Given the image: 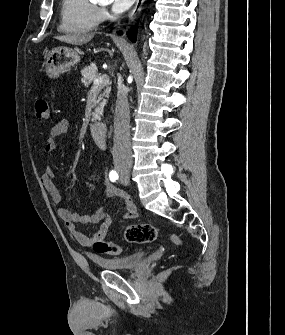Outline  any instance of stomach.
I'll use <instances>...</instances> for the list:
<instances>
[{"label":"stomach","mask_w":285,"mask_h":335,"mask_svg":"<svg viewBox=\"0 0 285 335\" xmlns=\"http://www.w3.org/2000/svg\"><path fill=\"white\" fill-rule=\"evenodd\" d=\"M80 62L79 52L75 48H53L46 56L45 70L48 78H58L59 74L66 72L71 66Z\"/></svg>","instance_id":"obj_1"}]
</instances>
